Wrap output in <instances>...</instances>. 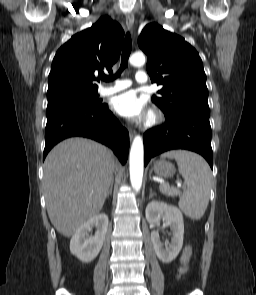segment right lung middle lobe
Listing matches in <instances>:
<instances>
[{
  "instance_id": "dd1d6c3e",
  "label": "right lung middle lobe",
  "mask_w": 256,
  "mask_h": 295,
  "mask_svg": "<svg viewBox=\"0 0 256 295\" xmlns=\"http://www.w3.org/2000/svg\"><path fill=\"white\" fill-rule=\"evenodd\" d=\"M48 102H57V103H72L82 107L97 108L100 107L101 101L98 99L97 92L95 93H86V92H71L64 94Z\"/></svg>"
}]
</instances>
